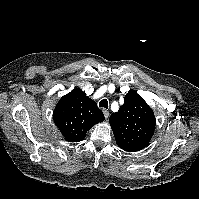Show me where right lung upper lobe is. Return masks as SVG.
Here are the masks:
<instances>
[{
	"label": "right lung upper lobe",
	"instance_id": "cb5924a9",
	"mask_svg": "<svg viewBox=\"0 0 199 199\" xmlns=\"http://www.w3.org/2000/svg\"><path fill=\"white\" fill-rule=\"evenodd\" d=\"M53 120L67 141L79 142L91 127L104 121V115L95 101L81 89H74L59 100Z\"/></svg>",
	"mask_w": 199,
	"mask_h": 199
}]
</instances>
